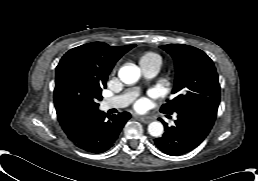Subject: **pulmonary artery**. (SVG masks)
Returning a JSON list of instances; mask_svg holds the SVG:
<instances>
[{"label": "pulmonary artery", "instance_id": "pulmonary-artery-1", "mask_svg": "<svg viewBox=\"0 0 258 181\" xmlns=\"http://www.w3.org/2000/svg\"><path fill=\"white\" fill-rule=\"evenodd\" d=\"M160 70V65H153L147 68H143L144 75L147 78L155 77ZM138 94L137 88H132L124 92L123 94L105 99L101 103L102 110H109L113 108H123L127 106Z\"/></svg>", "mask_w": 258, "mask_h": 181}]
</instances>
